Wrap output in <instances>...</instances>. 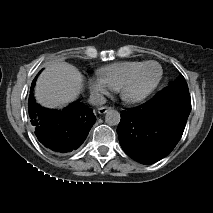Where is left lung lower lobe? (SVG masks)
Masks as SVG:
<instances>
[{
	"instance_id": "left-lung-lower-lobe-1",
	"label": "left lung lower lobe",
	"mask_w": 213,
	"mask_h": 213,
	"mask_svg": "<svg viewBox=\"0 0 213 213\" xmlns=\"http://www.w3.org/2000/svg\"><path fill=\"white\" fill-rule=\"evenodd\" d=\"M190 111L188 86L170 84L147 103L121 112L117 133L122 149L143 164L164 158L180 140Z\"/></svg>"
}]
</instances>
